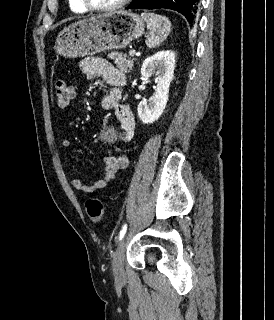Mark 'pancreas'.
I'll return each mask as SVG.
<instances>
[{"instance_id": "pancreas-1", "label": "pancreas", "mask_w": 274, "mask_h": 320, "mask_svg": "<svg viewBox=\"0 0 274 320\" xmlns=\"http://www.w3.org/2000/svg\"><path fill=\"white\" fill-rule=\"evenodd\" d=\"M108 58L114 60V64H116L117 68H119L121 72H126V74L131 72L135 62V58H127L125 54H120V52H111V54H108Z\"/></svg>"}]
</instances>
